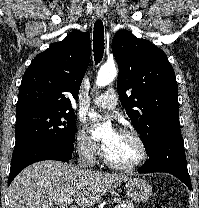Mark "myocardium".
Returning <instances> with one entry per match:
<instances>
[{
  "mask_svg": "<svg viewBox=\"0 0 199 208\" xmlns=\"http://www.w3.org/2000/svg\"><path fill=\"white\" fill-rule=\"evenodd\" d=\"M121 134H125L128 136H131L139 145L140 147V157L139 159L132 163V164H120L117 163L113 160H111L108 155L106 154L105 150H103L102 156H103V161L105 162L106 165L109 167L120 170V171H133L139 167H141L147 160L148 158V149L145 141L141 137V135L134 129L131 128H122L118 131Z\"/></svg>",
  "mask_w": 199,
  "mask_h": 208,
  "instance_id": "obj_1",
  "label": "myocardium"
}]
</instances>
